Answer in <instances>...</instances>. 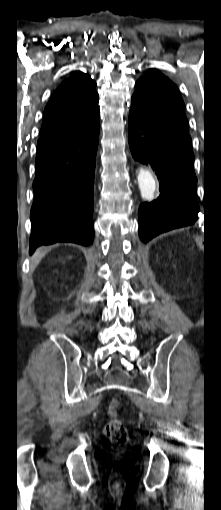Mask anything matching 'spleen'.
I'll list each match as a JSON object with an SVG mask.
<instances>
[{
  "label": "spleen",
  "instance_id": "obj_1",
  "mask_svg": "<svg viewBox=\"0 0 221 510\" xmlns=\"http://www.w3.org/2000/svg\"><path fill=\"white\" fill-rule=\"evenodd\" d=\"M196 241H197L198 245H200V246L202 245V241L200 238H197Z\"/></svg>",
  "mask_w": 221,
  "mask_h": 510
}]
</instances>
